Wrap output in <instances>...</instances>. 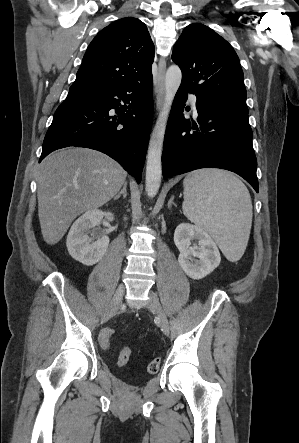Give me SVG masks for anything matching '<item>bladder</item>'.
Here are the masks:
<instances>
[{
	"label": "bladder",
	"instance_id": "obj_1",
	"mask_svg": "<svg viewBox=\"0 0 299 443\" xmlns=\"http://www.w3.org/2000/svg\"><path fill=\"white\" fill-rule=\"evenodd\" d=\"M124 376L128 379H136L137 378V375L133 372H130V371H126L124 373Z\"/></svg>",
	"mask_w": 299,
	"mask_h": 443
}]
</instances>
